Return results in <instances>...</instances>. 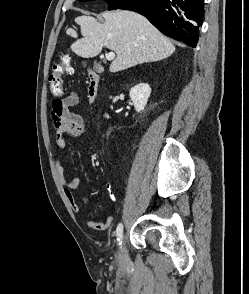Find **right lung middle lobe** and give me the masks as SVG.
<instances>
[{
  "label": "right lung middle lobe",
  "instance_id": "dd1d6c3e",
  "mask_svg": "<svg viewBox=\"0 0 249 294\" xmlns=\"http://www.w3.org/2000/svg\"><path fill=\"white\" fill-rule=\"evenodd\" d=\"M79 1H90V0H79ZM108 3L109 10L118 9L125 0H105Z\"/></svg>",
  "mask_w": 249,
  "mask_h": 294
}]
</instances>
